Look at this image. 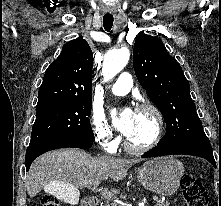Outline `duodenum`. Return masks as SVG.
I'll return each mask as SVG.
<instances>
[{
    "label": "duodenum",
    "instance_id": "1",
    "mask_svg": "<svg viewBox=\"0 0 221 206\" xmlns=\"http://www.w3.org/2000/svg\"><path fill=\"white\" fill-rule=\"evenodd\" d=\"M83 206H102L101 200L96 196H89L85 199Z\"/></svg>",
    "mask_w": 221,
    "mask_h": 206
}]
</instances>
